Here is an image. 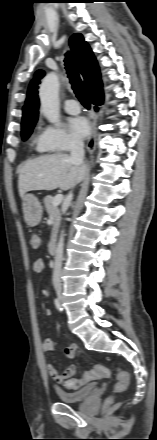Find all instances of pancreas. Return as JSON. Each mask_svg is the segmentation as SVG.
<instances>
[{"mask_svg": "<svg viewBox=\"0 0 157 440\" xmlns=\"http://www.w3.org/2000/svg\"><path fill=\"white\" fill-rule=\"evenodd\" d=\"M53 200H54V198L50 195H48L44 198V205H45L46 211L53 219L51 241H54L56 239L58 229L60 226V221H61L60 210L58 209V207L53 206Z\"/></svg>", "mask_w": 157, "mask_h": 440, "instance_id": "pancreas-1", "label": "pancreas"}]
</instances>
